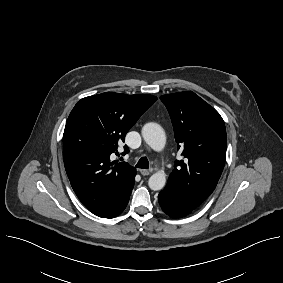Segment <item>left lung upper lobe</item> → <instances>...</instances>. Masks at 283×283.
<instances>
[{"label": "left lung upper lobe", "mask_w": 283, "mask_h": 283, "mask_svg": "<svg viewBox=\"0 0 283 283\" xmlns=\"http://www.w3.org/2000/svg\"><path fill=\"white\" fill-rule=\"evenodd\" d=\"M185 160L176 161L168 184L194 208L215 189L225 164L227 136L220 114L191 91L162 95Z\"/></svg>", "instance_id": "left-lung-upper-lobe-1"}]
</instances>
